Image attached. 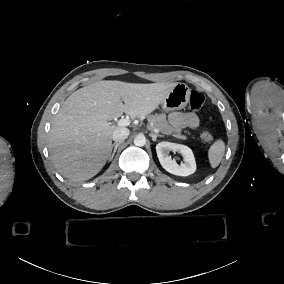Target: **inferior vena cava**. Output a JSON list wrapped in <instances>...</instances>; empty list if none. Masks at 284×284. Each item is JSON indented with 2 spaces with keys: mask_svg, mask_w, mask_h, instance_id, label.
Listing matches in <instances>:
<instances>
[{
  "mask_svg": "<svg viewBox=\"0 0 284 284\" xmlns=\"http://www.w3.org/2000/svg\"><path fill=\"white\" fill-rule=\"evenodd\" d=\"M129 130L126 128H118L113 133V140L116 142H124L129 137Z\"/></svg>",
  "mask_w": 284,
  "mask_h": 284,
  "instance_id": "602c4592",
  "label": "inferior vena cava"
}]
</instances>
